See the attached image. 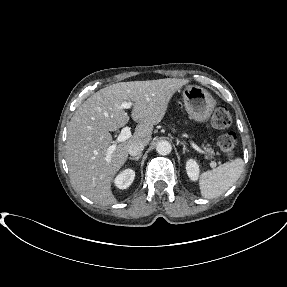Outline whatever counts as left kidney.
Instances as JSON below:
<instances>
[{
  "label": "left kidney",
  "mask_w": 287,
  "mask_h": 287,
  "mask_svg": "<svg viewBox=\"0 0 287 287\" xmlns=\"http://www.w3.org/2000/svg\"><path fill=\"white\" fill-rule=\"evenodd\" d=\"M186 172L192 181H196L199 177V165L194 159H189L186 162Z\"/></svg>",
  "instance_id": "obj_1"
}]
</instances>
